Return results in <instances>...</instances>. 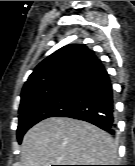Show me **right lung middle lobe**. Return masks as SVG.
<instances>
[{"mask_svg":"<svg viewBox=\"0 0 135 166\" xmlns=\"http://www.w3.org/2000/svg\"><path fill=\"white\" fill-rule=\"evenodd\" d=\"M72 97L70 86H65L40 98L20 104L17 129L18 142L22 141L23 135L33 125L66 109Z\"/></svg>","mask_w":135,"mask_h":166,"instance_id":"right-lung-middle-lobe-1","label":"right lung middle lobe"}]
</instances>
